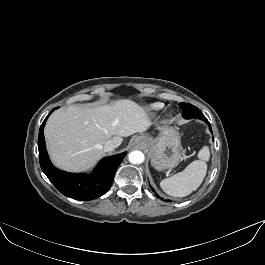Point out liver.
I'll return each mask as SVG.
<instances>
[{"mask_svg":"<svg viewBox=\"0 0 265 265\" xmlns=\"http://www.w3.org/2000/svg\"><path fill=\"white\" fill-rule=\"evenodd\" d=\"M150 119L139 104L128 99L86 108L69 106L49 117L44 135L52 162L67 171H83L103 157L104 144L118 147L122 137L146 131Z\"/></svg>","mask_w":265,"mask_h":265,"instance_id":"obj_1","label":"liver"}]
</instances>
